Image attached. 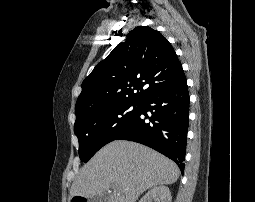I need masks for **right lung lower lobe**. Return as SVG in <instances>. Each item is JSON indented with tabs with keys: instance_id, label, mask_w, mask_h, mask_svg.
Returning a JSON list of instances; mask_svg holds the SVG:
<instances>
[{
	"instance_id": "1",
	"label": "right lung lower lobe",
	"mask_w": 255,
	"mask_h": 202,
	"mask_svg": "<svg viewBox=\"0 0 255 202\" xmlns=\"http://www.w3.org/2000/svg\"><path fill=\"white\" fill-rule=\"evenodd\" d=\"M189 101L186 79L150 95L141 102L132 123L115 140H129L149 146L172 159L183 173Z\"/></svg>"
}]
</instances>
